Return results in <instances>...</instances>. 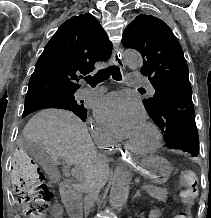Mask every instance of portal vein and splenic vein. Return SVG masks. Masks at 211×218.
Masks as SVG:
<instances>
[{
    "label": "portal vein and splenic vein",
    "instance_id": "18ae733b",
    "mask_svg": "<svg viewBox=\"0 0 211 218\" xmlns=\"http://www.w3.org/2000/svg\"><path fill=\"white\" fill-rule=\"evenodd\" d=\"M147 186L146 185H144V186H141L140 188L143 190V191H145Z\"/></svg>",
    "mask_w": 211,
    "mask_h": 218
}]
</instances>
